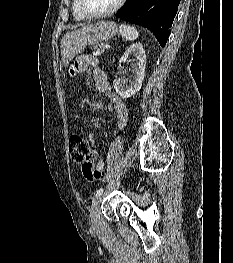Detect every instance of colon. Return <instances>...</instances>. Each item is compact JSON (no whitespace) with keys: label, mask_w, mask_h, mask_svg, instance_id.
Listing matches in <instances>:
<instances>
[{"label":"colon","mask_w":233,"mask_h":263,"mask_svg":"<svg viewBox=\"0 0 233 263\" xmlns=\"http://www.w3.org/2000/svg\"><path fill=\"white\" fill-rule=\"evenodd\" d=\"M91 153L90 142L80 135H72L69 139V154L71 160L75 163L82 164V170L88 180H98L105 177L104 169L101 167L94 168L89 162Z\"/></svg>","instance_id":"colon-1"}]
</instances>
